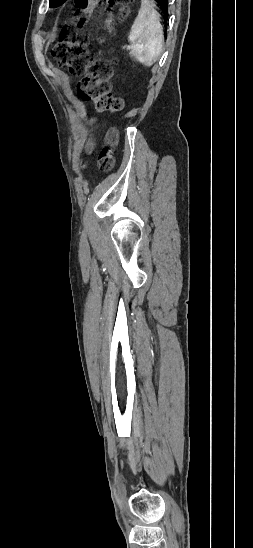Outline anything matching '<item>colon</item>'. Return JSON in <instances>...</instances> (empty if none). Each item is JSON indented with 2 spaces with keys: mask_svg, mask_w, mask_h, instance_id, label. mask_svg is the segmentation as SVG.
<instances>
[{
  "mask_svg": "<svg viewBox=\"0 0 253 548\" xmlns=\"http://www.w3.org/2000/svg\"><path fill=\"white\" fill-rule=\"evenodd\" d=\"M105 3L123 4L125 0H75L76 18L84 25L95 9ZM88 38L65 28L52 50L57 63L70 73L81 76L77 85V94L84 101H91L99 112H118L124 101L112 93V66L108 61L93 59L87 48ZM118 144V133L110 130L105 137V146L98 156V167L109 171L114 166V151Z\"/></svg>",
  "mask_w": 253,
  "mask_h": 548,
  "instance_id": "1",
  "label": "colon"
}]
</instances>
